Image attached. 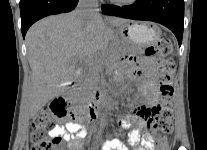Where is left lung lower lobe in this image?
<instances>
[{
	"label": "left lung lower lobe",
	"mask_w": 207,
	"mask_h": 150,
	"mask_svg": "<svg viewBox=\"0 0 207 150\" xmlns=\"http://www.w3.org/2000/svg\"><path fill=\"white\" fill-rule=\"evenodd\" d=\"M107 15L134 20H149L168 27L182 42L184 23V0H138L128 6L102 5Z\"/></svg>",
	"instance_id": "1"
}]
</instances>
